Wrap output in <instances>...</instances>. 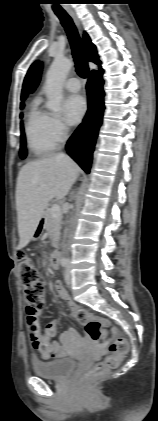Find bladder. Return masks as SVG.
Returning <instances> with one entry per match:
<instances>
[{"label": "bladder", "instance_id": "bladder-1", "mask_svg": "<svg viewBox=\"0 0 158 421\" xmlns=\"http://www.w3.org/2000/svg\"><path fill=\"white\" fill-rule=\"evenodd\" d=\"M76 365V360L71 357H59L51 361H34L32 368L39 377L60 380L69 376Z\"/></svg>", "mask_w": 158, "mask_h": 421}]
</instances>
